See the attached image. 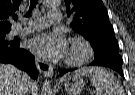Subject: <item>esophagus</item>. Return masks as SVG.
<instances>
[{
	"label": "esophagus",
	"instance_id": "obj_1",
	"mask_svg": "<svg viewBox=\"0 0 135 95\" xmlns=\"http://www.w3.org/2000/svg\"><path fill=\"white\" fill-rule=\"evenodd\" d=\"M35 64L39 72L42 73L44 76L51 77L53 75V67L51 64L38 57H36L35 59Z\"/></svg>",
	"mask_w": 135,
	"mask_h": 95
}]
</instances>
